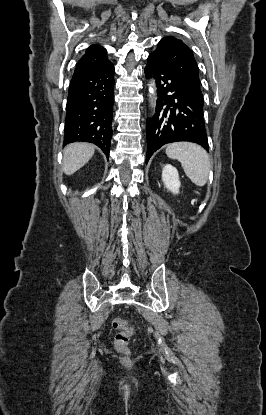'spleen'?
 Here are the masks:
<instances>
[{
  "label": "spleen",
  "mask_w": 266,
  "mask_h": 415,
  "mask_svg": "<svg viewBox=\"0 0 266 415\" xmlns=\"http://www.w3.org/2000/svg\"><path fill=\"white\" fill-rule=\"evenodd\" d=\"M171 159L178 160L186 176L197 186H204L208 180L210 160L207 152L199 145L188 142L173 143L166 148Z\"/></svg>",
  "instance_id": "obj_1"
}]
</instances>
